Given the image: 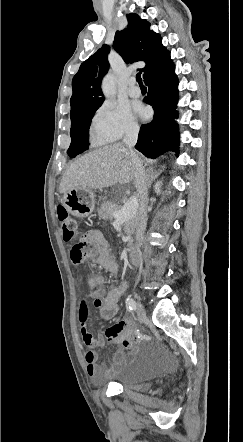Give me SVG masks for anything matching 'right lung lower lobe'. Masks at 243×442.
I'll list each match as a JSON object with an SVG mask.
<instances>
[{
  "label": "right lung lower lobe",
  "mask_w": 243,
  "mask_h": 442,
  "mask_svg": "<svg viewBox=\"0 0 243 442\" xmlns=\"http://www.w3.org/2000/svg\"><path fill=\"white\" fill-rule=\"evenodd\" d=\"M144 81L149 89L144 102L152 106L154 116L150 123L141 126L135 147L150 158L168 151L178 153L179 132L174 120L177 117L178 79L169 52L144 77Z\"/></svg>",
  "instance_id": "98d812e1"
}]
</instances>
